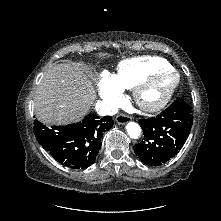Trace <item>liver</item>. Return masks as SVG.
I'll return each mask as SVG.
<instances>
[{
  "label": "liver",
  "mask_w": 221,
  "mask_h": 221,
  "mask_svg": "<svg viewBox=\"0 0 221 221\" xmlns=\"http://www.w3.org/2000/svg\"><path fill=\"white\" fill-rule=\"evenodd\" d=\"M96 99L89 75L76 64L61 63L43 76L34 96L37 119L45 125L81 120Z\"/></svg>",
  "instance_id": "6515ba94"
}]
</instances>
